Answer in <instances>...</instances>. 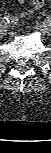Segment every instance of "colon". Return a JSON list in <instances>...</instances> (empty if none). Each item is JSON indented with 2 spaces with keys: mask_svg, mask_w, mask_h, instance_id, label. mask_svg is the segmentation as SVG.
Segmentation results:
<instances>
[{
  "mask_svg": "<svg viewBox=\"0 0 51 153\" xmlns=\"http://www.w3.org/2000/svg\"><path fill=\"white\" fill-rule=\"evenodd\" d=\"M36 1V5H40L42 0H35Z\"/></svg>",
  "mask_w": 51,
  "mask_h": 153,
  "instance_id": "colon-1",
  "label": "colon"
}]
</instances>
